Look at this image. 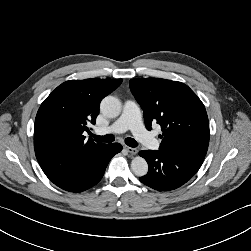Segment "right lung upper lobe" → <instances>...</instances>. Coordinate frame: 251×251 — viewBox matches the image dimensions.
Returning a JSON list of instances; mask_svg holds the SVG:
<instances>
[{
    "label": "right lung upper lobe",
    "instance_id": "right-lung-upper-lobe-1",
    "mask_svg": "<svg viewBox=\"0 0 251 251\" xmlns=\"http://www.w3.org/2000/svg\"><path fill=\"white\" fill-rule=\"evenodd\" d=\"M122 79L69 80L41 104L35 119L34 148L40 165L73 161L106 144L85 141L87 124H95L101 100L120 86Z\"/></svg>",
    "mask_w": 251,
    "mask_h": 251
}]
</instances>
